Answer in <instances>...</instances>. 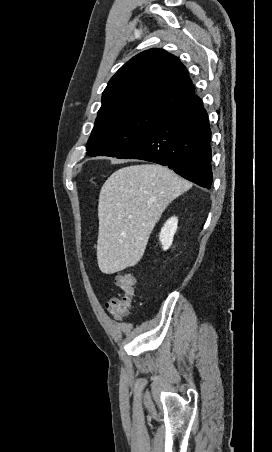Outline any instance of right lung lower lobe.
Wrapping results in <instances>:
<instances>
[{
  "mask_svg": "<svg viewBox=\"0 0 272 452\" xmlns=\"http://www.w3.org/2000/svg\"><path fill=\"white\" fill-rule=\"evenodd\" d=\"M210 141L207 112L200 98L194 95L181 108L161 114L117 158L141 159L168 166L185 179L210 189Z\"/></svg>",
  "mask_w": 272,
  "mask_h": 452,
  "instance_id": "right-lung-lower-lobe-1",
  "label": "right lung lower lobe"
}]
</instances>
